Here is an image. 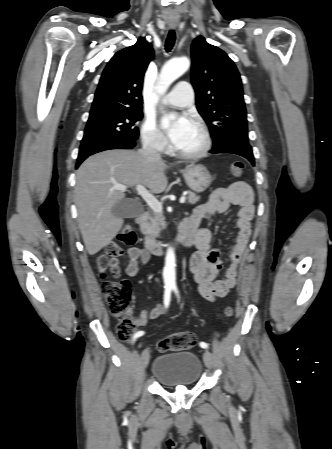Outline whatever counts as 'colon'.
I'll use <instances>...</instances> for the list:
<instances>
[{
	"instance_id": "colon-1",
	"label": "colon",
	"mask_w": 332,
	"mask_h": 449,
	"mask_svg": "<svg viewBox=\"0 0 332 449\" xmlns=\"http://www.w3.org/2000/svg\"><path fill=\"white\" fill-rule=\"evenodd\" d=\"M231 175L240 178L244 172V165L240 161H234L230 166ZM120 240L126 244L136 241L133 228L125 227L120 233ZM124 256L122 248L115 242L111 243L105 253L97 260L98 273L102 284V293L106 299L111 315L119 319L117 333L120 339L129 340L135 332V323L128 316V309L132 301V284L128 280L111 281L107 279L109 269L114 276L119 273L120 261ZM234 309L228 306L224 309L225 318H232ZM196 338L192 332H178L168 335L160 340L156 347L161 352L180 351L191 348Z\"/></svg>"
}]
</instances>
